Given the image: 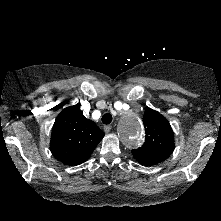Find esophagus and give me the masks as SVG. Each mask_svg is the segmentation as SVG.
<instances>
[{
    "instance_id": "1",
    "label": "esophagus",
    "mask_w": 221,
    "mask_h": 221,
    "mask_svg": "<svg viewBox=\"0 0 221 221\" xmlns=\"http://www.w3.org/2000/svg\"><path fill=\"white\" fill-rule=\"evenodd\" d=\"M103 129H104V131H105L106 133H108V132H110V130L112 129V126H111V125H105Z\"/></svg>"
}]
</instances>
